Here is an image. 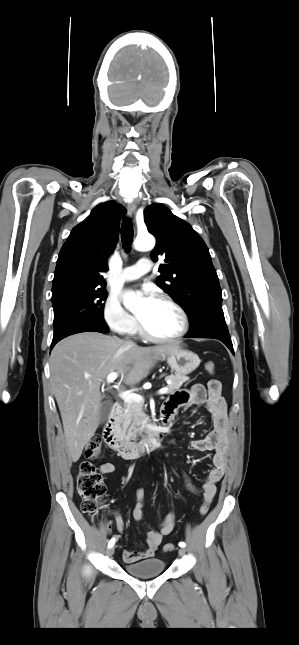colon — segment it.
Here are the masks:
<instances>
[{
    "mask_svg": "<svg viewBox=\"0 0 299 645\" xmlns=\"http://www.w3.org/2000/svg\"><path fill=\"white\" fill-rule=\"evenodd\" d=\"M205 368L209 373H214L215 367L213 362H206ZM208 386L212 390H217L221 387V384L218 380H211L208 383ZM100 452L101 442L99 438H92L84 449L85 461L80 464L77 475L76 487L79 496L82 498L81 509L90 517L96 516L99 506L104 500L106 494V487L103 483L102 476L92 463V460L96 459L100 455ZM208 510V503H204L200 507V514L205 516L208 513ZM174 549L175 547L171 543L164 546L165 552H171L174 551Z\"/></svg>",
    "mask_w": 299,
    "mask_h": 645,
    "instance_id": "obj_1",
    "label": "colon"
}]
</instances>
